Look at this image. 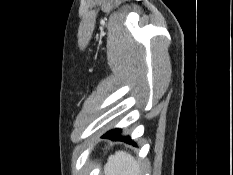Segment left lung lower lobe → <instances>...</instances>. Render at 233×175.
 <instances>
[{
    "mask_svg": "<svg viewBox=\"0 0 233 175\" xmlns=\"http://www.w3.org/2000/svg\"><path fill=\"white\" fill-rule=\"evenodd\" d=\"M104 137L113 139V140H122L128 143H131V139L129 136H121V130L120 129H113L107 132Z\"/></svg>",
    "mask_w": 233,
    "mask_h": 175,
    "instance_id": "1",
    "label": "left lung lower lobe"
}]
</instances>
